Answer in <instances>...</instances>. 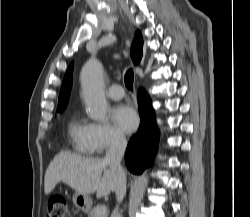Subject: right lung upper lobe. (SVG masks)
<instances>
[{"label": "right lung upper lobe", "mask_w": 250, "mask_h": 217, "mask_svg": "<svg viewBox=\"0 0 250 217\" xmlns=\"http://www.w3.org/2000/svg\"><path fill=\"white\" fill-rule=\"evenodd\" d=\"M143 40L141 33L139 31L136 32L132 46H131V58L135 64H138L142 58ZM72 72H73V63L70 64L68 70L64 76L62 87L60 90L59 98H58V111H63L69 101V96L72 87Z\"/></svg>", "instance_id": "1"}]
</instances>
